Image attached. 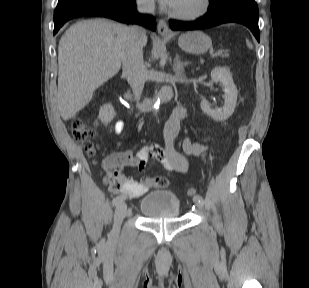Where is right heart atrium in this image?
<instances>
[{
    "mask_svg": "<svg viewBox=\"0 0 309 288\" xmlns=\"http://www.w3.org/2000/svg\"><path fill=\"white\" fill-rule=\"evenodd\" d=\"M136 4L143 10H151L154 8V0H136Z\"/></svg>",
    "mask_w": 309,
    "mask_h": 288,
    "instance_id": "right-heart-atrium-1",
    "label": "right heart atrium"
}]
</instances>
